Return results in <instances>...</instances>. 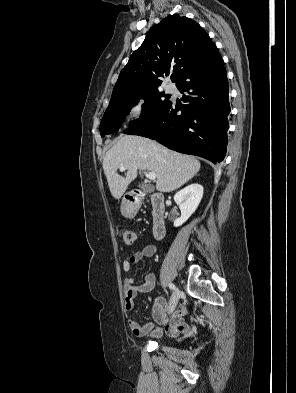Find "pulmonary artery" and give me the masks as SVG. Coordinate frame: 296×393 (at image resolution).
<instances>
[{"label": "pulmonary artery", "instance_id": "pulmonary-artery-1", "mask_svg": "<svg viewBox=\"0 0 296 393\" xmlns=\"http://www.w3.org/2000/svg\"><path fill=\"white\" fill-rule=\"evenodd\" d=\"M168 91H172V88H171V87H169V88H168Z\"/></svg>", "mask_w": 296, "mask_h": 393}]
</instances>
